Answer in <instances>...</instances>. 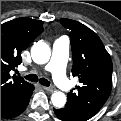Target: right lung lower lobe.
<instances>
[{
	"mask_svg": "<svg viewBox=\"0 0 121 121\" xmlns=\"http://www.w3.org/2000/svg\"><path fill=\"white\" fill-rule=\"evenodd\" d=\"M34 86H31L22 94L10 99L5 105L1 106V118H13L20 115L27 107Z\"/></svg>",
	"mask_w": 121,
	"mask_h": 121,
	"instance_id": "98d812e1",
	"label": "right lung lower lobe"
}]
</instances>
